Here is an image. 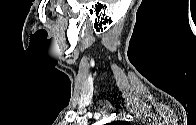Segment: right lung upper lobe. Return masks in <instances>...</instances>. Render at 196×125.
<instances>
[{
    "mask_svg": "<svg viewBox=\"0 0 196 125\" xmlns=\"http://www.w3.org/2000/svg\"><path fill=\"white\" fill-rule=\"evenodd\" d=\"M117 124H122V122H117Z\"/></svg>",
    "mask_w": 196,
    "mask_h": 125,
    "instance_id": "1",
    "label": "right lung upper lobe"
}]
</instances>
